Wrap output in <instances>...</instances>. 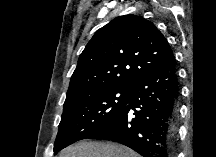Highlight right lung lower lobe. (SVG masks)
<instances>
[{"label": "right lung lower lobe", "instance_id": "1", "mask_svg": "<svg viewBox=\"0 0 216 157\" xmlns=\"http://www.w3.org/2000/svg\"><path fill=\"white\" fill-rule=\"evenodd\" d=\"M179 86L173 54L137 80L125 107L90 139L126 145L142 157H173Z\"/></svg>", "mask_w": 216, "mask_h": 157}]
</instances>
